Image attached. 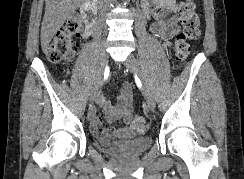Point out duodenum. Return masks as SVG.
I'll list each match as a JSON object with an SVG mask.
<instances>
[{
  "mask_svg": "<svg viewBox=\"0 0 244 179\" xmlns=\"http://www.w3.org/2000/svg\"><path fill=\"white\" fill-rule=\"evenodd\" d=\"M97 12L96 0H85L82 4L80 14L90 28V33L94 31V19Z\"/></svg>",
  "mask_w": 244,
  "mask_h": 179,
  "instance_id": "1",
  "label": "duodenum"
}]
</instances>
